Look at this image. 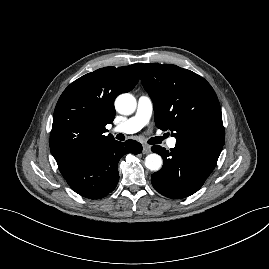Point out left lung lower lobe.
Returning <instances> with one entry per match:
<instances>
[{
    "instance_id": "0a47b994",
    "label": "left lung lower lobe",
    "mask_w": 269,
    "mask_h": 269,
    "mask_svg": "<svg viewBox=\"0 0 269 269\" xmlns=\"http://www.w3.org/2000/svg\"><path fill=\"white\" fill-rule=\"evenodd\" d=\"M223 145L177 141L170 151L161 146L151 150L163 158V167L152 174L153 187L168 198H185L198 191L216 166Z\"/></svg>"
}]
</instances>
